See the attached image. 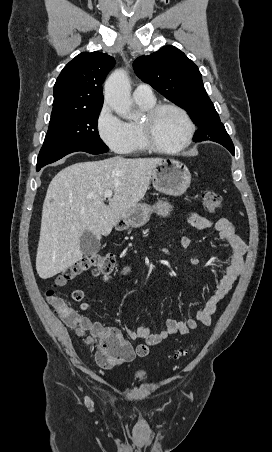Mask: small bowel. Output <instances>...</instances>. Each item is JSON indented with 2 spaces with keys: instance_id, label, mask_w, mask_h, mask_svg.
Listing matches in <instances>:
<instances>
[{
  "instance_id": "c3829d8e",
  "label": "small bowel",
  "mask_w": 272,
  "mask_h": 452,
  "mask_svg": "<svg viewBox=\"0 0 272 452\" xmlns=\"http://www.w3.org/2000/svg\"><path fill=\"white\" fill-rule=\"evenodd\" d=\"M187 222L192 227L198 230H206L214 228L218 231L220 239L225 242L230 249L229 263L225 268L223 277L221 278L217 289L213 295L205 303L204 307L197 311L194 318H189L184 321H176L168 319L166 321V329L160 332H152L147 327H137L136 329L127 328V336L130 339H142L144 346L149 350L150 346L157 345L163 340L173 335H185L190 331L197 328L198 324L210 325L212 322V316L216 313L219 303L228 295L233 284L244 270V255L247 252V245L245 242L235 234L234 227L231 221L225 217L219 218L216 221L192 212L188 215ZM191 245V239L188 236H183L180 240V246L183 251L187 252ZM192 263L196 262V259H191ZM132 271L131 266H124L121 269V276L125 277ZM72 298L75 302L79 303L81 311H87L91 308V304L86 301L85 294L81 290H74L72 292ZM63 322L78 336H87L90 342H97L101 336H112L121 339L125 344L130 347L132 360L135 355L145 356L148 351L143 354H138L130 346L128 340L124 334L114 327H104L98 322H92L85 316L80 315L76 310L72 309L69 315H62ZM136 347V348H137Z\"/></svg>"
}]
</instances>
